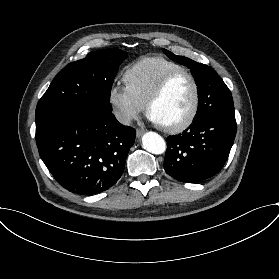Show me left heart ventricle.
Here are the masks:
<instances>
[{
    "mask_svg": "<svg viewBox=\"0 0 279 279\" xmlns=\"http://www.w3.org/2000/svg\"><path fill=\"white\" fill-rule=\"evenodd\" d=\"M195 90L191 79L186 75L177 77L154 103L151 115L162 125L181 122L190 112L194 102Z\"/></svg>",
    "mask_w": 279,
    "mask_h": 279,
    "instance_id": "left-heart-ventricle-1",
    "label": "left heart ventricle"
}]
</instances>
